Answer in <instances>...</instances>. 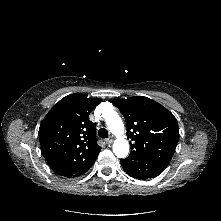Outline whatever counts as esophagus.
<instances>
[{"label":"esophagus","instance_id":"esophagus-1","mask_svg":"<svg viewBox=\"0 0 221 221\" xmlns=\"http://www.w3.org/2000/svg\"><path fill=\"white\" fill-rule=\"evenodd\" d=\"M113 143V138L106 139V144L110 145Z\"/></svg>","mask_w":221,"mask_h":221}]
</instances>
